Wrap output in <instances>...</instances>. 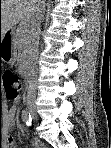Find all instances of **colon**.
Masks as SVG:
<instances>
[{"label":"colon","instance_id":"1","mask_svg":"<svg viewBox=\"0 0 111 148\" xmlns=\"http://www.w3.org/2000/svg\"><path fill=\"white\" fill-rule=\"evenodd\" d=\"M0 79L5 87L7 98L9 100H17L21 92V86L17 74L13 71L6 70L0 73Z\"/></svg>","mask_w":111,"mask_h":148}]
</instances>
